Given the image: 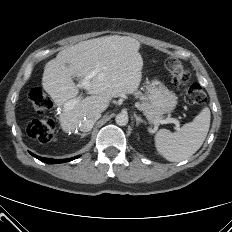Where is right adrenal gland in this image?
<instances>
[{
  "mask_svg": "<svg viewBox=\"0 0 232 232\" xmlns=\"http://www.w3.org/2000/svg\"><path fill=\"white\" fill-rule=\"evenodd\" d=\"M78 135H80L81 136V138H83V137H85L86 135H89L90 134V132H88V133H77Z\"/></svg>",
  "mask_w": 232,
  "mask_h": 232,
  "instance_id": "obj_1",
  "label": "right adrenal gland"
}]
</instances>
